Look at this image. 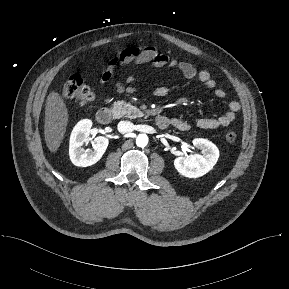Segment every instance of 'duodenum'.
Segmentation results:
<instances>
[{
	"mask_svg": "<svg viewBox=\"0 0 289 289\" xmlns=\"http://www.w3.org/2000/svg\"><path fill=\"white\" fill-rule=\"evenodd\" d=\"M113 116H114V113L111 108L102 107L96 113V120L100 124H108L112 121ZM154 120H155V124L161 129H165L169 127L171 124V120L164 115H157Z\"/></svg>",
	"mask_w": 289,
	"mask_h": 289,
	"instance_id": "duodenum-1",
	"label": "duodenum"
}]
</instances>
